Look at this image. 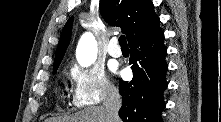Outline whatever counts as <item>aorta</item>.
<instances>
[{"mask_svg":"<svg viewBox=\"0 0 221 122\" xmlns=\"http://www.w3.org/2000/svg\"><path fill=\"white\" fill-rule=\"evenodd\" d=\"M76 58L82 67H88L95 62L97 58V41L90 32L84 33L80 38L76 50Z\"/></svg>","mask_w":221,"mask_h":122,"instance_id":"762f6f07","label":"aorta"}]
</instances>
